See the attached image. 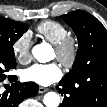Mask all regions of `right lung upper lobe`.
<instances>
[{"mask_svg": "<svg viewBox=\"0 0 107 107\" xmlns=\"http://www.w3.org/2000/svg\"><path fill=\"white\" fill-rule=\"evenodd\" d=\"M2 18L0 17V38L5 36V28H4V22Z\"/></svg>", "mask_w": 107, "mask_h": 107, "instance_id": "obj_1", "label": "right lung upper lobe"}]
</instances>
